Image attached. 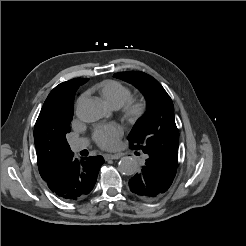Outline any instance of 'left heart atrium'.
Segmentation results:
<instances>
[{
	"mask_svg": "<svg viewBox=\"0 0 246 246\" xmlns=\"http://www.w3.org/2000/svg\"><path fill=\"white\" fill-rule=\"evenodd\" d=\"M123 135V129L118 124H106L96 127L93 138L96 144L103 149H113Z\"/></svg>",
	"mask_w": 246,
	"mask_h": 246,
	"instance_id": "left-heart-atrium-1",
	"label": "left heart atrium"
}]
</instances>
